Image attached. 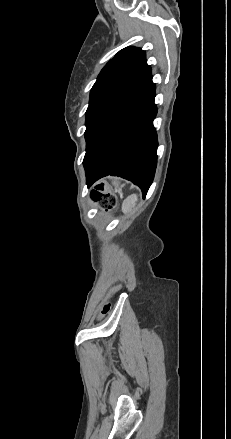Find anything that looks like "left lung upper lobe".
Instances as JSON below:
<instances>
[{"label": "left lung upper lobe", "instance_id": "left-lung-upper-lobe-1", "mask_svg": "<svg viewBox=\"0 0 231 439\" xmlns=\"http://www.w3.org/2000/svg\"><path fill=\"white\" fill-rule=\"evenodd\" d=\"M151 76L145 52L136 47L120 50L101 70L90 92L87 134L114 106Z\"/></svg>", "mask_w": 231, "mask_h": 439}]
</instances>
